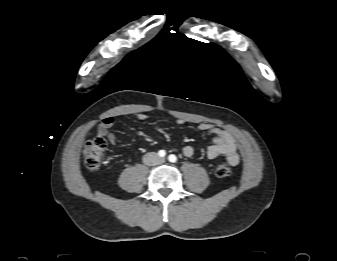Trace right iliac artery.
<instances>
[{"instance_id":"1","label":"right iliac artery","mask_w":337,"mask_h":261,"mask_svg":"<svg viewBox=\"0 0 337 261\" xmlns=\"http://www.w3.org/2000/svg\"><path fill=\"white\" fill-rule=\"evenodd\" d=\"M158 155H159L160 157H164V156L166 155L165 150H160V151L158 152Z\"/></svg>"}]
</instances>
